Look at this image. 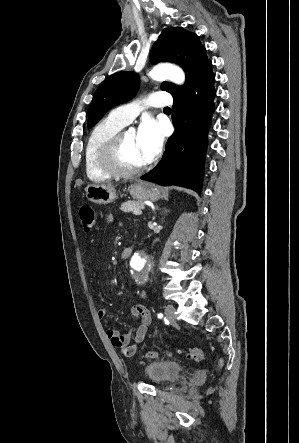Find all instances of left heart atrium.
<instances>
[{
    "label": "left heart atrium",
    "mask_w": 299,
    "mask_h": 443,
    "mask_svg": "<svg viewBox=\"0 0 299 443\" xmlns=\"http://www.w3.org/2000/svg\"><path fill=\"white\" fill-rule=\"evenodd\" d=\"M138 145L145 163L151 162L159 153L163 142L161 124L151 117L145 118L137 133Z\"/></svg>",
    "instance_id": "39dd6f15"
}]
</instances>
